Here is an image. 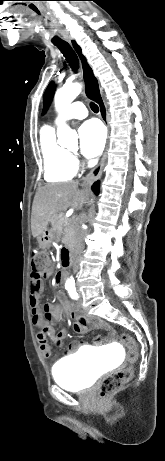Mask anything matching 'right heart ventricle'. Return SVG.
Segmentation results:
<instances>
[{
  "label": "right heart ventricle",
  "mask_w": 165,
  "mask_h": 461,
  "mask_svg": "<svg viewBox=\"0 0 165 461\" xmlns=\"http://www.w3.org/2000/svg\"><path fill=\"white\" fill-rule=\"evenodd\" d=\"M43 174L48 182H62L74 178L77 168L71 154L56 142L52 127L45 126L40 133Z\"/></svg>",
  "instance_id": "1"
}]
</instances>
